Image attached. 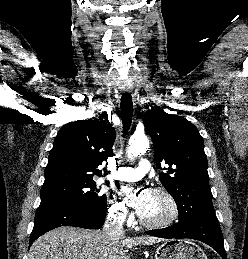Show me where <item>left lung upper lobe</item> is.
Returning a JSON list of instances; mask_svg holds the SVG:
<instances>
[{
	"mask_svg": "<svg viewBox=\"0 0 248 259\" xmlns=\"http://www.w3.org/2000/svg\"><path fill=\"white\" fill-rule=\"evenodd\" d=\"M143 123L153 141L157 166L160 168L161 162L169 166L160 180L176 201L179 221L214 214L207 157L197 128L160 108L148 110Z\"/></svg>",
	"mask_w": 248,
	"mask_h": 259,
	"instance_id": "obj_1",
	"label": "left lung upper lobe"
}]
</instances>
